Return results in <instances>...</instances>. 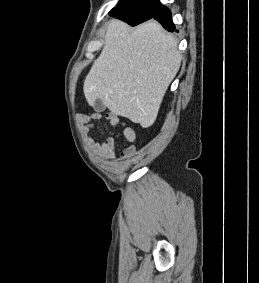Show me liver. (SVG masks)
<instances>
[{
	"instance_id": "liver-1",
	"label": "liver",
	"mask_w": 259,
	"mask_h": 283,
	"mask_svg": "<svg viewBox=\"0 0 259 283\" xmlns=\"http://www.w3.org/2000/svg\"><path fill=\"white\" fill-rule=\"evenodd\" d=\"M104 39L84 81L88 104L100 99L113 114L150 127L179 69L177 40L154 21L131 29L115 19L108 23Z\"/></svg>"
}]
</instances>
